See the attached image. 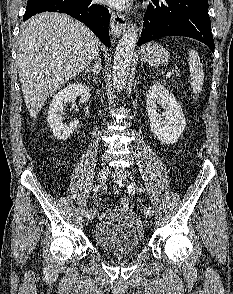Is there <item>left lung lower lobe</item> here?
<instances>
[{"label": "left lung lower lobe", "mask_w": 233, "mask_h": 294, "mask_svg": "<svg viewBox=\"0 0 233 294\" xmlns=\"http://www.w3.org/2000/svg\"><path fill=\"white\" fill-rule=\"evenodd\" d=\"M165 36L197 39L214 53L208 0H151L138 46Z\"/></svg>", "instance_id": "0a47b994"}]
</instances>
